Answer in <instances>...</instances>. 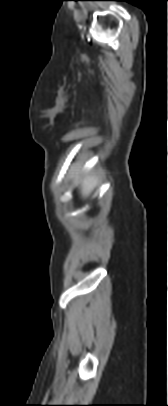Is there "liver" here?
<instances>
[{
  "label": "liver",
  "instance_id": "1",
  "mask_svg": "<svg viewBox=\"0 0 168 406\" xmlns=\"http://www.w3.org/2000/svg\"><path fill=\"white\" fill-rule=\"evenodd\" d=\"M79 171H77V174ZM97 181L93 177L86 176L81 182V194L84 198L88 197L94 190Z\"/></svg>",
  "mask_w": 168,
  "mask_h": 406
}]
</instances>
